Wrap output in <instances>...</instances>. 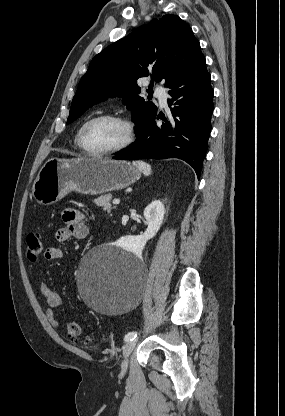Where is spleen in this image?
Here are the masks:
<instances>
[{
    "label": "spleen",
    "instance_id": "obj_1",
    "mask_svg": "<svg viewBox=\"0 0 285 416\" xmlns=\"http://www.w3.org/2000/svg\"><path fill=\"white\" fill-rule=\"evenodd\" d=\"M133 166L139 168L140 172H142L144 176H150L151 166H149V164H146V162H133Z\"/></svg>",
    "mask_w": 285,
    "mask_h": 416
}]
</instances>
